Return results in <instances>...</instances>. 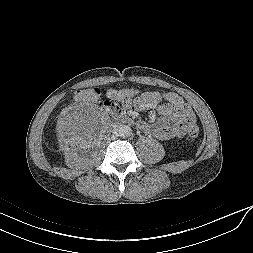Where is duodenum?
Wrapping results in <instances>:
<instances>
[{
	"instance_id": "1",
	"label": "duodenum",
	"mask_w": 253,
	"mask_h": 253,
	"mask_svg": "<svg viewBox=\"0 0 253 253\" xmlns=\"http://www.w3.org/2000/svg\"><path fill=\"white\" fill-rule=\"evenodd\" d=\"M113 115L116 119H118L122 123L127 124L133 123V119L124 113H114Z\"/></svg>"
}]
</instances>
